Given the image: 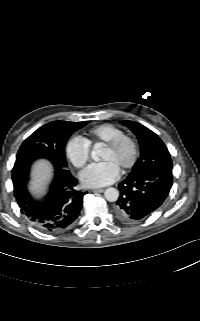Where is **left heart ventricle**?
I'll use <instances>...</instances> for the list:
<instances>
[{"label":"left heart ventricle","instance_id":"b2bd125f","mask_svg":"<svg viewBox=\"0 0 200 321\" xmlns=\"http://www.w3.org/2000/svg\"><path fill=\"white\" fill-rule=\"evenodd\" d=\"M131 156V146L125 142L115 150L103 148L100 158L112 161L119 169L129 160Z\"/></svg>","mask_w":200,"mask_h":321}]
</instances>
